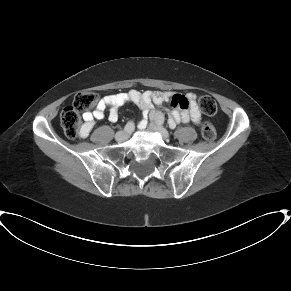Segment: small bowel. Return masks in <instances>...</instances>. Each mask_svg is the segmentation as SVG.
I'll use <instances>...</instances> for the list:
<instances>
[{
  "label": "small bowel",
  "instance_id": "c3829d8e",
  "mask_svg": "<svg viewBox=\"0 0 291 291\" xmlns=\"http://www.w3.org/2000/svg\"><path fill=\"white\" fill-rule=\"evenodd\" d=\"M168 101H176L177 103V108L170 115L172 125L190 121L194 124L200 123L201 113L197 104L196 95L193 93L182 95L172 94L168 91H146L141 93L136 90H130L127 93L107 95L98 103L94 111L84 113L83 123L80 127V137L86 138L90 134L96 122L104 118L106 110H109L108 119L111 122H116L119 118V107L127 102H132L142 110L143 117L145 118L147 111L152 105L159 106ZM184 102L190 105L189 108H182ZM145 125V120H142L141 126L145 127Z\"/></svg>",
  "mask_w": 291,
  "mask_h": 291
}]
</instances>
